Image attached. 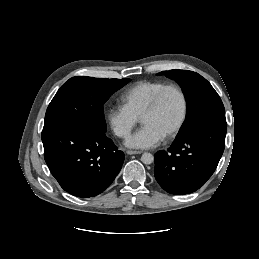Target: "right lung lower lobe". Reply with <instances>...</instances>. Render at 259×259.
<instances>
[{"mask_svg": "<svg viewBox=\"0 0 259 259\" xmlns=\"http://www.w3.org/2000/svg\"><path fill=\"white\" fill-rule=\"evenodd\" d=\"M42 142L50 172L65 191L77 197L103 192L125 158L105 132L79 122L43 128Z\"/></svg>", "mask_w": 259, "mask_h": 259, "instance_id": "98d812e1", "label": "right lung lower lobe"}]
</instances>
